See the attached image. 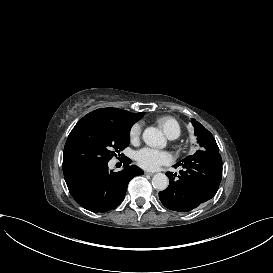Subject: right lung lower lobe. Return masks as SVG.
Masks as SVG:
<instances>
[{
    "mask_svg": "<svg viewBox=\"0 0 273 273\" xmlns=\"http://www.w3.org/2000/svg\"><path fill=\"white\" fill-rule=\"evenodd\" d=\"M122 171L108 170V162L87 163L65 170L64 177L70 194L83 208L93 212H107L118 206L125 197L129 181L143 171L135 165Z\"/></svg>",
    "mask_w": 273,
    "mask_h": 273,
    "instance_id": "right-lung-lower-lobe-1",
    "label": "right lung lower lobe"
}]
</instances>
